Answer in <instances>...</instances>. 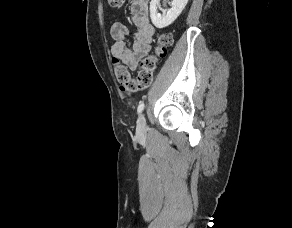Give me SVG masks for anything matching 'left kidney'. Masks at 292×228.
<instances>
[{
	"label": "left kidney",
	"instance_id": "obj_1",
	"mask_svg": "<svg viewBox=\"0 0 292 228\" xmlns=\"http://www.w3.org/2000/svg\"><path fill=\"white\" fill-rule=\"evenodd\" d=\"M188 0H173L172 7L162 15L157 9L160 6V0H151L150 17L151 21L157 28H164L173 23L185 8Z\"/></svg>",
	"mask_w": 292,
	"mask_h": 228
}]
</instances>
